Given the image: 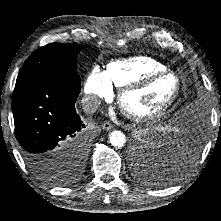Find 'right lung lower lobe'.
I'll return each mask as SVG.
<instances>
[{
	"instance_id": "98d812e1",
	"label": "right lung lower lobe",
	"mask_w": 221,
	"mask_h": 221,
	"mask_svg": "<svg viewBox=\"0 0 221 221\" xmlns=\"http://www.w3.org/2000/svg\"><path fill=\"white\" fill-rule=\"evenodd\" d=\"M81 82L42 80L13 93L16 139L24 160L40 176L84 159L85 125L76 113Z\"/></svg>"
}]
</instances>
